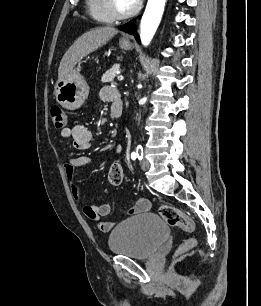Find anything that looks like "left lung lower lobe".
<instances>
[{
  "mask_svg": "<svg viewBox=\"0 0 261 306\" xmlns=\"http://www.w3.org/2000/svg\"><path fill=\"white\" fill-rule=\"evenodd\" d=\"M120 30L124 31V32H127L129 34H132L135 36L136 40L138 42H140L139 40V36L136 32V20H132L130 21L129 23L125 24V25H122L119 27Z\"/></svg>",
  "mask_w": 261,
  "mask_h": 306,
  "instance_id": "1",
  "label": "left lung lower lobe"
}]
</instances>
